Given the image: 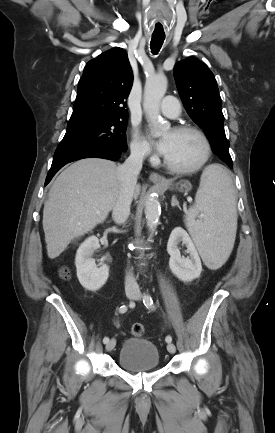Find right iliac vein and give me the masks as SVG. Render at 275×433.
Returning a JSON list of instances; mask_svg holds the SVG:
<instances>
[{
    "instance_id": "1",
    "label": "right iliac vein",
    "mask_w": 275,
    "mask_h": 433,
    "mask_svg": "<svg viewBox=\"0 0 275 433\" xmlns=\"http://www.w3.org/2000/svg\"><path fill=\"white\" fill-rule=\"evenodd\" d=\"M134 292H126V296L128 297V298H133L134 297ZM115 345H116V340L114 339V338H112L107 344H106V346H105V349H106V351L107 352H110V351H112L113 350V348L115 347Z\"/></svg>"
}]
</instances>
